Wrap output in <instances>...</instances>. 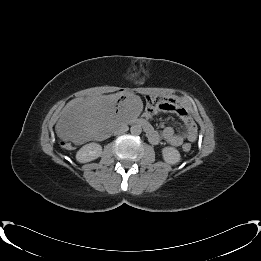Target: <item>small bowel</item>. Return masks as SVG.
I'll return each mask as SVG.
<instances>
[{
  "label": "small bowel",
  "instance_id": "1",
  "mask_svg": "<svg viewBox=\"0 0 261 261\" xmlns=\"http://www.w3.org/2000/svg\"><path fill=\"white\" fill-rule=\"evenodd\" d=\"M148 102L151 111L175 114L182 120L186 127L184 133L176 132L174 128L170 126L165 127L161 132L153 129V131L148 134L152 143L157 144L163 139L172 146H181L186 140L189 142L196 141L198 135L197 124L183 103L173 98L157 95L150 96Z\"/></svg>",
  "mask_w": 261,
  "mask_h": 261
}]
</instances>
